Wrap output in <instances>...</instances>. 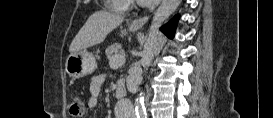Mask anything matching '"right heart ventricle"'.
Segmentation results:
<instances>
[{"instance_id": "e07e8e85", "label": "right heart ventricle", "mask_w": 273, "mask_h": 118, "mask_svg": "<svg viewBox=\"0 0 273 118\" xmlns=\"http://www.w3.org/2000/svg\"><path fill=\"white\" fill-rule=\"evenodd\" d=\"M113 9L117 12H123L127 9L128 2L120 0H112Z\"/></svg>"}]
</instances>
